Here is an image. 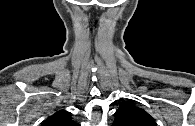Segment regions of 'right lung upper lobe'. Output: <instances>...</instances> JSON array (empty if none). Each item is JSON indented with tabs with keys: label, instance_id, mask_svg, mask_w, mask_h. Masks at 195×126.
Wrapping results in <instances>:
<instances>
[{
	"label": "right lung upper lobe",
	"instance_id": "obj_1",
	"mask_svg": "<svg viewBox=\"0 0 195 126\" xmlns=\"http://www.w3.org/2000/svg\"><path fill=\"white\" fill-rule=\"evenodd\" d=\"M42 126H78L71 118V113L65 110H60L50 116Z\"/></svg>",
	"mask_w": 195,
	"mask_h": 126
}]
</instances>
